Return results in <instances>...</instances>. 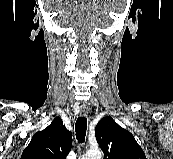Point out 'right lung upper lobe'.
Instances as JSON below:
<instances>
[{
    "instance_id": "obj_1",
    "label": "right lung upper lobe",
    "mask_w": 173,
    "mask_h": 159,
    "mask_svg": "<svg viewBox=\"0 0 173 159\" xmlns=\"http://www.w3.org/2000/svg\"><path fill=\"white\" fill-rule=\"evenodd\" d=\"M71 146V132L56 117L47 128L33 135L21 159H65Z\"/></svg>"
}]
</instances>
